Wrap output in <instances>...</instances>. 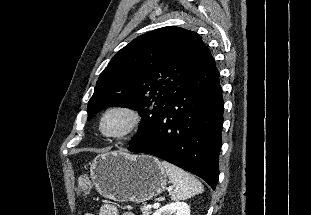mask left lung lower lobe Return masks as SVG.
Listing matches in <instances>:
<instances>
[{"instance_id":"1","label":"left lung lower lobe","mask_w":311,"mask_h":215,"mask_svg":"<svg viewBox=\"0 0 311 215\" xmlns=\"http://www.w3.org/2000/svg\"><path fill=\"white\" fill-rule=\"evenodd\" d=\"M222 125L219 72L205 45L148 131L128 150L166 160L201 177L215 189Z\"/></svg>"}]
</instances>
